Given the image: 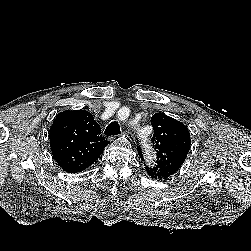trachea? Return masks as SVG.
Returning a JSON list of instances; mask_svg holds the SVG:
<instances>
[{"mask_svg":"<svg viewBox=\"0 0 251 251\" xmlns=\"http://www.w3.org/2000/svg\"><path fill=\"white\" fill-rule=\"evenodd\" d=\"M120 126L118 122L113 121L111 122L105 129V135L106 136H115L120 134Z\"/></svg>","mask_w":251,"mask_h":251,"instance_id":"3493384b","label":"trachea"}]
</instances>
